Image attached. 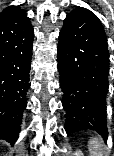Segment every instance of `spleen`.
<instances>
[{"label": "spleen", "mask_w": 114, "mask_h": 156, "mask_svg": "<svg viewBox=\"0 0 114 156\" xmlns=\"http://www.w3.org/2000/svg\"><path fill=\"white\" fill-rule=\"evenodd\" d=\"M88 150L90 156H107L104 155L102 139L100 137H93L89 140Z\"/></svg>", "instance_id": "1"}]
</instances>
